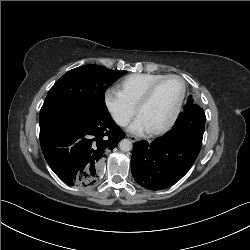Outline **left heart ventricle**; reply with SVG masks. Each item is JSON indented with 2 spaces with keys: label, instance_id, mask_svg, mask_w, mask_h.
Returning <instances> with one entry per match:
<instances>
[{
  "label": "left heart ventricle",
  "instance_id": "obj_1",
  "mask_svg": "<svg viewBox=\"0 0 250 250\" xmlns=\"http://www.w3.org/2000/svg\"><path fill=\"white\" fill-rule=\"evenodd\" d=\"M179 80L171 78L163 81L150 101L141 109L139 115L150 130L160 127L171 117L181 93Z\"/></svg>",
  "mask_w": 250,
  "mask_h": 250
}]
</instances>
